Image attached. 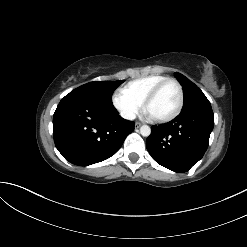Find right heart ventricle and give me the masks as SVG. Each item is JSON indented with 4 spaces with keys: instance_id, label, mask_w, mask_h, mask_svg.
Listing matches in <instances>:
<instances>
[{
    "instance_id": "obj_1",
    "label": "right heart ventricle",
    "mask_w": 247,
    "mask_h": 247,
    "mask_svg": "<svg viewBox=\"0 0 247 247\" xmlns=\"http://www.w3.org/2000/svg\"><path fill=\"white\" fill-rule=\"evenodd\" d=\"M167 78L164 75H149L133 81H130L124 88L128 95L133 97L139 102H143L147 94L155 87L159 82Z\"/></svg>"
}]
</instances>
